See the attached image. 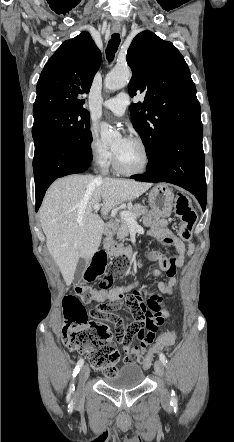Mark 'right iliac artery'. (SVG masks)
Here are the masks:
<instances>
[{"label":"right iliac artery","instance_id":"82829eb1","mask_svg":"<svg viewBox=\"0 0 234 442\" xmlns=\"http://www.w3.org/2000/svg\"><path fill=\"white\" fill-rule=\"evenodd\" d=\"M84 364V359H80L73 371V377H76V375L78 374L80 368L82 367V365ZM74 393V384H71L70 388H69V396L72 395Z\"/></svg>","mask_w":234,"mask_h":442}]
</instances>
